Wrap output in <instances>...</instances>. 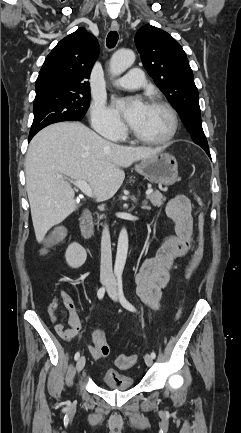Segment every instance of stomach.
Here are the masks:
<instances>
[{
    "label": "stomach",
    "mask_w": 241,
    "mask_h": 433,
    "mask_svg": "<svg viewBox=\"0 0 241 433\" xmlns=\"http://www.w3.org/2000/svg\"><path fill=\"white\" fill-rule=\"evenodd\" d=\"M135 170L150 182L160 185L170 186L178 180L176 158L163 151L136 164Z\"/></svg>",
    "instance_id": "1"
}]
</instances>
